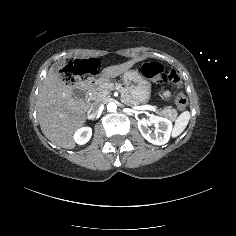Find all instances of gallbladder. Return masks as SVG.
Listing matches in <instances>:
<instances>
[{
  "mask_svg": "<svg viewBox=\"0 0 236 236\" xmlns=\"http://www.w3.org/2000/svg\"><path fill=\"white\" fill-rule=\"evenodd\" d=\"M67 60L66 59H62L60 61H57L54 65L53 68L55 70V73L58 77L63 76V72L62 69L67 68Z\"/></svg>",
  "mask_w": 236,
  "mask_h": 236,
  "instance_id": "1",
  "label": "gallbladder"
}]
</instances>
